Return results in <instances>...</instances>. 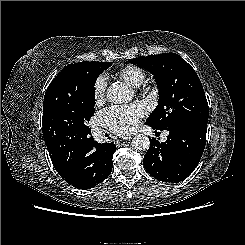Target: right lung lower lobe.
Here are the masks:
<instances>
[{
    "mask_svg": "<svg viewBox=\"0 0 245 245\" xmlns=\"http://www.w3.org/2000/svg\"><path fill=\"white\" fill-rule=\"evenodd\" d=\"M90 134L60 135L45 141L58 174L78 189L95 187L110 175L113 168L115 144H99Z\"/></svg>",
    "mask_w": 245,
    "mask_h": 245,
    "instance_id": "1",
    "label": "right lung lower lobe"
}]
</instances>
